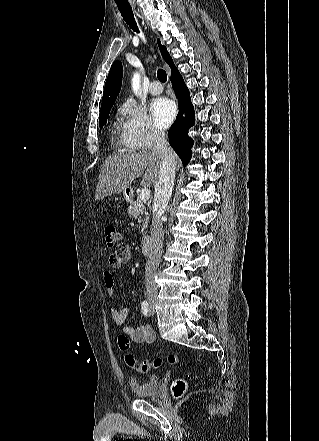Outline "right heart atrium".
Listing matches in <instances>:
<instances>
[{
  "label": "right heart atrium",
  "mask_w": 319,
  "mask_h": 441,
  "mask_svg": "<svg viewBox=\"0 0 319 441\" xmlns=\"http://www.w3.org/2000/svg\"><path fill=\"white\" fill-rule=\"evenodd\" d=\"M120 114L124 119L122 130L128 149L148 150L164 139V131L155 124L143 107L126 102L121 106Z\"/></svg>",
  "instance_id": "d8ad5b80"
}]
</instances>
